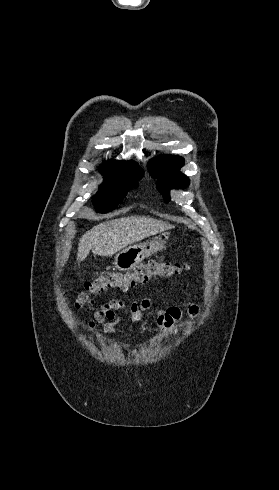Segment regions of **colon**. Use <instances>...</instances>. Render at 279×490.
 <instances>
[{
	"instance_id": "1",
	"label": "colon",
	"mask_w": 279,
	"mask_h": 490,
	"mask_svg": "<svg viewBox=\"0 0 279 490\" xmlns=\"http://www.w3.org/2000/svg\"><path fill=\"white\" fill-rule=\"evenodd\" d=\"M185 265L178 262L147 260L137 265L130 271H106L99 277L87 282L85 289L76 299L80 307H86L91 303L94 295L101 294L109 289H128L144 283L153 277H171L179 274ZM61 291H70L71 284L68 281L60 283Z\"/></svg>"
}]
</instances>
